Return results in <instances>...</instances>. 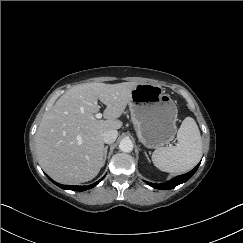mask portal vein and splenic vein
I'll return each instance as SVG.
<instances>
[{
	"mask_svg": "<svg viewBox=\"0 0 243 243\" xmlns=\"http://www.w3.org/2000/svg\"><path fill=\"white\" fill-rule=\"evenodd\" d=\"M95 117H96L97 119H100V118H102V114H101V113H97V114L95 115Z\"/></svg>",
	"mask_w": 243,
	"mask_h": 243,
	"instance_id": "obj_1",
	"label": "portal vein and splenic vein"
}]
</instances>
